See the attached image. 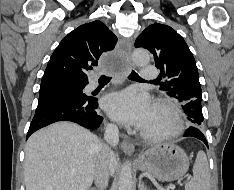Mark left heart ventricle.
<instances>
[{
  "label": "left heart ventricle",
  "instance_id": "obj_1",
  "mask_svg": "<svg viewBox=\"0 0 234 190\" xmlns=\"http://www.w3.org/2000/svg\"><path fill=\"white\" fill-rule=\"evenodd\" d=\"M172 125L170 116L159 108L154 107L151 117L145 127L146 131H161L169 128Z\"/></svg>",
  "mask_w": 234,
  "mask_h": 190
}]
</instances>
